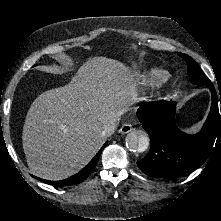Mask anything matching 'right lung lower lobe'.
<instances>
[{
  "instance_id": "obj_1",
  "label": "right lung lower lobe",
  "mask_w": 221,
  "mask_h": 221,
  "mask_svg": "<svg viewBox=\"0 0 221 221\" xmlns=\"http://www.w3.org/2000/svg\"><path fill=\"white\" fill-rule=\"evenodd\" d=\"M107 144V142L103 145V147L101 148V150H99V152L94 156V158L82 169L80 170L78 173L74 174L73 176L64 179V180H60V181H48V180H42L40 178H38L39 180H42L43 182L56 186V187H65V186H70V185H76L79 184L81 182H83L94 170V168L97 165V162L99 160L100 154L102 149L105 147V145Z\"/></svg>"
}]
</instances>
